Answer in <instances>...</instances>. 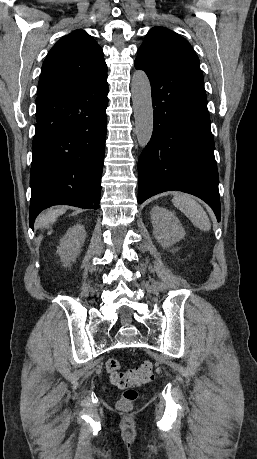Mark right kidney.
<instances>
[{
    "mask_svg": "<svg viewBox=\"0 0 257 459\" xmlns=\"http://www.w3.org/2000/svg\"><path fill=\"white\" fill-rule=\"evenodd\" d=\"M86 231L83 225L77 224L69 228L60 240V245L57 248V254L60 256L64 266H70L71 262L76 260V256L80 253V249L84 245Z\"/></svg>",
    "mask_w": 257,
    "mask_h": 459,
    "instance_id": "obj_1",
    "label": "right kidney"
}]
</instances>
